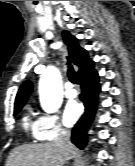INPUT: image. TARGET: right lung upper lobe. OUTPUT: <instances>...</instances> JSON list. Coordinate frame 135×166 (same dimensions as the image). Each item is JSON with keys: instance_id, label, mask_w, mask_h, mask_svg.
Masks as SVG:
<instances>
[{"instance_id": "obj_1", "label": "right lung upper lobe", "mask_w": 135, "mask_h": 166, "mask_svg": "<svg viewBox=\"0 0 135 166\" xmlns=\"http://www.w3.org/2000/svg\"><path fill=\"white\" fill-rule=\"evenodd\" d=\"M63 37L67 46L68 54L73 64L79 67V71L92 62L88 58L87 51L79 46L78 40L74 36H72L68 31H64ZM32 88L33 84L30 81H25L21 85L16 95L14 108L25 105L29 95L32 92Z\"/></svg>"}]
</instances>
